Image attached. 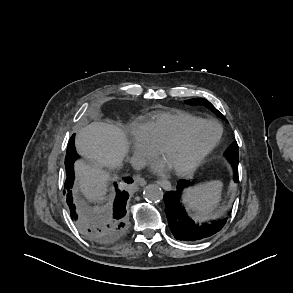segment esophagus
I'll use <instances>...</instances> for the list:
<instances>
[{"instance_id":"1","label":"esophagus","mask_w":293,"mask_h":293,"mask_svg":"<svg viewBox=\"0 0 293 293\" xmlns=\"http://www.w3.org/2000/svg\"><path fill=\"white\" fill-rule=\"evenodd\" d=\"M136 181L138 182V184L140 186H144L146 184V181L143 178H141L140 176H136ZM156 183L161 186H169L170 185L169 181H167V180H157Z\"/></svg>"}]
</instances>
